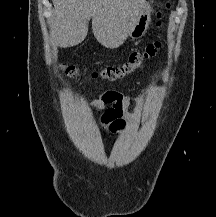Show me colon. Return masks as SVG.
<instances>
[{
	"instance_id": "1",
	"label": "colon",
	"mask_w": 216,
	"mask_h": 217,
	"mask_svg": "<svg viewBox=\"0 0 216 217\" xmlns=\"http://www.w3.org/2000/svg\"><path fill=\"white\" fill-rule=\"evenodd\" d=\"M169 7V3L166 2L159 4L156 14L157 25H162V21L165 18ZM161 46L162 45L159 40L154 41L144 50L133 52L126 62L115 66L105 67L98 72L92 73L91 76L93 78L101 77L109 81L122 80L142 68L147 61L154 59L160 51ZM61 69L68 77L77 79L81 77V74L74 65L62 63Z\"/></svg>"
}]
</instances>
